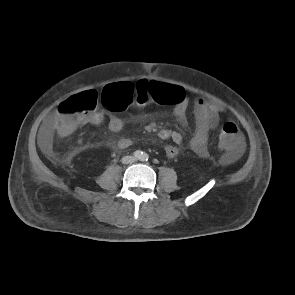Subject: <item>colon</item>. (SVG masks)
<instances>
[{
    "label": "colon",
    "instance_id": "5ec220e1",
    "mask_svg": "<svg viewBox=\"0 0 295 295\" xmlns=\"http://www.w3.org/2000/svg\"><path fill=\"white\" fill-rule=\"evenodd\" d=\"M178 90L161 83L142 81L137 84L117 82L107 85L101 94L103 105L112 112L126 110L134 101L173 103ZM98 102L97 93L93 90L71 96L61 102L55 119V131L61 137L71 135L83 120L95 109ZM238 126L227 122L222 126L219 141L225 151L234 150L240 143Z\"/></svg>",
    "mask_w": 295,
    "mask_h": 295
}]
</instances>
